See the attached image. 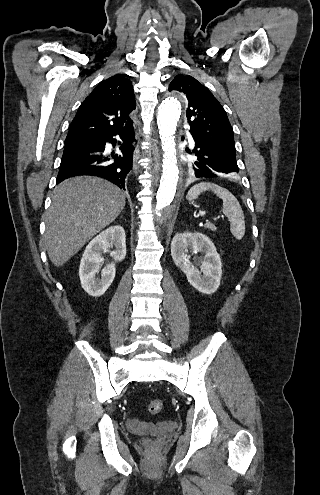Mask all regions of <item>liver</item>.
Returning <instances> with one entry per match:
<instances>
[{
    "mask_svg": "<svg viewBox=\"0 0 320 495\" xmlns=\"http://www.w3.org/2000/svg\"><path fill=\"white\" fill-rule=\"evenodd\" d=\"M125 200L123 191L100 178L77 176L61 182L46 217L44 243L51 262L65 264L119 216Z\"/></svg>",
    "mask_w": 320,
    "mask_h": 495,
    "instance_id": "1",
    "label": "liver"
}]
</instances>
